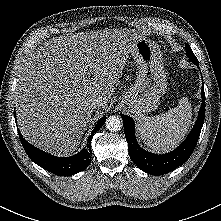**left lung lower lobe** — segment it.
Segmentation results:
<instances>
[{
    "instance_id": "left-lung-lower-lobe-1",
    "label": "left lung lower lobe",
    "mask_w": 221,
    "mask_h": 221,
    "mask_svg": "<svg viewBox=\"0 0 221 221\" xmlns=\"http://www.w3.org/2000/svg\"><path fill=\"white\" fill-rule=\"evenodd\" d=\"M197 67H199V65ZM201 97L202 103L195 126L184 142L168 154L158 155L142 149L135 137L133 118L127 115L121 116L129 154L138 168L152 175H162L176 169L188 160L195 149L205 118L204 85L202 86Z\"/></svg>"
}]
</instances>
